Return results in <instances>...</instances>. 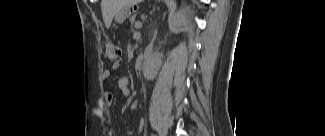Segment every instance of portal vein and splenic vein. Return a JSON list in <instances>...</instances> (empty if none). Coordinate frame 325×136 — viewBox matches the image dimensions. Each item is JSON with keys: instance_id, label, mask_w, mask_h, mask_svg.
Returning a JSON list of instances; mask_svg holds the SVG:
<instances>
[{"instance_id": "portal-vein-and-splenic-vein-1", "label": "portal vein and splenic vein", "mask_w": 325, "mask_h": 136, "mask_svg": "<svg viewBox=\"0 0 325 136\" xmlns=\"http://www.w3.org/2000/svg\"><path fill=\"white\" fill-rule=\"evenodd\" d=\"M139 25H141V23L140 22H136V26H139Z\"/></svg>"}]
</instances>
